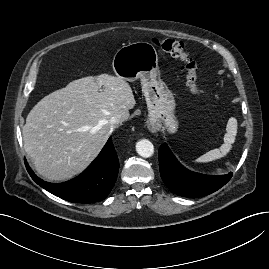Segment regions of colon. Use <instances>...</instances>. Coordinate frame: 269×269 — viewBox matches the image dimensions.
Segmentation results:
<instances>
[{
  "label": "colon",
  "instance_id": "5ec220e1",
  "mask_svg": "<svg viewBox=\"0 0 269 269\" xmlns=\"http://www.w3.org/2000/svg\"><path fill=\"white\" fill-rule=\"evenodd\" d=\"M152 42L163 52L181 61V70L185 76L189 91L193 95L201 97L203 95V90L199 84L197 77L199 68L198 61L190 53V50L187 48V46L183 42L174 39L154 38Z\"/></svg>",
  "mask_w": 269,
  "mask_h": 269
}]
</instances>
